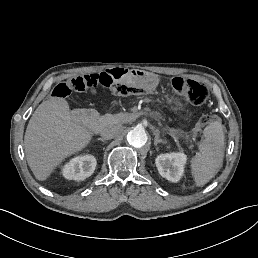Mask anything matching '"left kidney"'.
Wrapping results in <instances>:
<instances>
[{
  "instance_id": "left-kidney-1",
  "label": "left kidney",
  "mask_w": 258,
  "mask_h": 258,
  "mask_svg": "<svg viewBox=\"0 0 258 258\" xmlns=\"http://www.w3.org/2000/svg\"><path fill=\"white\" fill-rule=\"evenodd\" d=\"M188 156L184 152L162 153L155 158L159 174L171 182H178L184 176Z\"/></svg>"
}]
</instances>
